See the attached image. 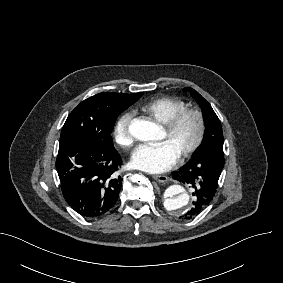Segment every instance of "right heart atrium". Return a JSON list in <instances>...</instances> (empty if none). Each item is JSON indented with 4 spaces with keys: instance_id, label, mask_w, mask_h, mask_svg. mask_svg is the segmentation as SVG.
Instances as JSON below:
<instances>
[{
    "instance_id": "1",
    "label": "right heart atrium",
    "mask_w": 283,
    "mask_h": 283,
    "mask_svg": "<svg viewBox=\"0 0 283 283\" xmlns=\"http://www.w3.org/2000/svg\"><path fill=\"white\" fill-rule=\"evenodd\" d=\"M133 119V115L130 111H123L115 120L112 127V139L114 143L127 151L133 144V139L130 133V123Z\"/></svg>"
}]
</instances>
